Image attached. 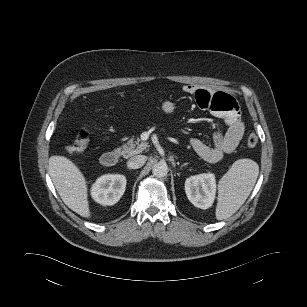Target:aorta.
<instances>
[{
    "label": "aorta",
    "instance_id": "aorta-1",
    "mask_svg": "<svg viewBox=\"0 0 307 307\" xmlns=\"http://www.w3.org/2000/svg\"><path fill=\"white\" fill-rule=\"evenodd\" d=\"M155 177H165L168 174V166L165 162H158L152 168Z\"/></svg>",
    "mask_w": 307,
    "mask_h": 307
}]
</instances>
